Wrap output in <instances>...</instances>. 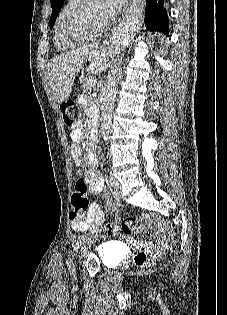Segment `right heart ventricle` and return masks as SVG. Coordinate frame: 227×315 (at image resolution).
<instances>
[{"label":"right heart ventricle","mask_w":227,"mask_h":315,"mask_svg":"<svg viewBox=\"0 0 227 315\" xmlns=\"http://www.w3.org/2000/svg\"><path fill=\"white\" fill-rule=\"evenodd\" d=\"M78 0H66L64 6L62 7L57 21H56V28H55V34H54V45L58 50H66L67 48H69L70 46H67L65 44H63L60 40L59 34H58V26L60 24V22L62 21V19L64 18V16L67 14V12L71 9V7L77 3Z\"/></svg>","instance_id":"e07e8e85"}]
</instances>
